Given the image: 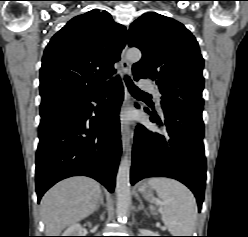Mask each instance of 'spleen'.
<instances>
[{"mask_svg":"<svg viewBox=\"0 0 248 237\" xmlns=\"http://www.w3.org/2000/svg\"><path fill=\"white\" fill-rule=\"evenodd\" d=\"M148 184L163 200L158 209L163 223L173 236H191L196 217L197 205L191 191L180 182L169 178H150ZM154 210V206H150Z\"/></svg>","mask_w":248,"mask_h":237,"instance_id":"spleen-1","label":"spleen"}]
</instances>
